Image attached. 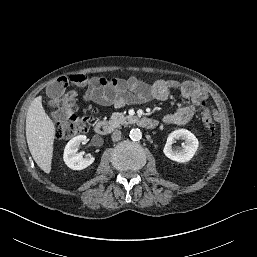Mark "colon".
I'll return each instance as SVG.
<instances>
[{"label": "colon", "instance_id": "1", "mask_svg": "<svg viewBox=\"0 0 257 257\" xmlns=\"http://www.w3.org/2000/svg\"><path fill=\"white\" fill-rule=\"evenodd\" d=\"M70 83L84 86L88 83V76L85 74L61 76L54 80L48 89L49 93L56 98L60 120L56 124L55 136L59 140H67L82 132H86L90 125L96 120L93 111H90L85 117H78L74 114L76 108V94L74 91L66 90ZM200 107L203 127L210 135H214L215 123L212 117L213 103L207 99H203Z\"/></svg>", "mask_w": 257, "mask_h": 257}]
</instances>
